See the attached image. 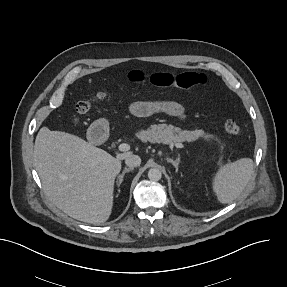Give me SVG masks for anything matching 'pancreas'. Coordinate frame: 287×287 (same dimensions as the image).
<instances>
[{
	"instance_id": "1",
	"label": "pancreas",
	"mask_w": 287,
	"mask_h": 287,
	"mask_svg": "<svg viewBox=\"0 0 287 287\" xmlns=\"http://www.w3.org/2000/svg\"><path fill=\"white\" fill-rule=\"evenodd\" d=\"M138 137L145 142H163L165 144L194 142L198 139L209 142L213 139L212 135L201 130H181L179 127L167 124L151 125L149 129L141 131Z\"/></svg>"
}]
</instances>
